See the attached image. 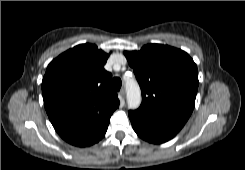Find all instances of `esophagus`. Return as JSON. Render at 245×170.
Here are the masks:
<instances>
[{"instance_id": "1", "label": "esophagus", "mask_w": 245, "mask_h": 170, "mask_svg": "<svg viewBox=\"0 0 245 170\" xmlns=\"http://www.w3.org/2000/svg\"><path fill=\"white\" fill-rule=\"evenodd\" d=\"M119 96H120L121 101L124 103V97H125V90L124 89L120 90Z\"/></svg>"}]
</instances>
